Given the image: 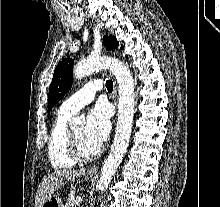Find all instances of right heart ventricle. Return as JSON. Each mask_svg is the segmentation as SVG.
<instances>
[{"label": "right heart ventricle", "mask_w": 220, "mask_h": 207, "mask_svg": "<svg viewBox=\"0 0 220 207\" xmlns=\"http://www.w3.org/2000/svg\"><path fill=\"white\" fill-rule=\"evenodd\" d=\"M71 116L59 111L50 131L47 155L50 164L56 169L71 168L77 163L69 156L66 147L67 123Z\"/></svg>", "instance_id": "e07e8e85"}]
</instances>
